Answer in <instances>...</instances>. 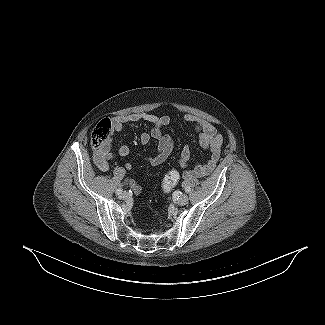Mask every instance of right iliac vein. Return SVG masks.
I'll return each instance as SVG.
<instances>
[{
  "instance_id": "right-iliac-vein-1",
  "label": "right iliac vein",
  "mask_w": 325,
  "mask_h": 325,
  "mask_svg": "<svg viewBox=\"0 0 325 325\" xmlns=\"http://www.w3.org/2000/svg\"><path fill=\"white\" fill-rule=\"evenodd\" d=\"M129 197V194L126 192V191H124V192H122L121 194H120V198L121 199H127Z\"/></svg>"
}]
</instances>
